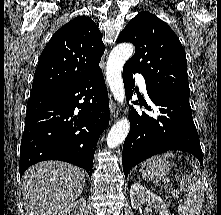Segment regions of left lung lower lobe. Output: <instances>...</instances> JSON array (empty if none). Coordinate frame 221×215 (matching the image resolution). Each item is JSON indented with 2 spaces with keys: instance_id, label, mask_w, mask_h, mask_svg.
<instances>
[{
  "instance_id": "0a47b994",
  "label": "left lung lower lobe",
  "mask_w": 221,
  "mask_h": 215,
  "mask_svg": "<svg viewBox=\"0 0 221 215\" xmlns=\"http://www.w3.org/2000/svg\"><path fill=\"white\" fill-rule=\"evenodd\" d=\"M135 72L123 68V82L126 98L133 96ZM151 102L144 105L155 115L137 112L131 108L130 131L123 145V171L127 178L131 168L143 160L161 152L181 150L193 154L203 165V155L198 133L192 118L189 99H183L146 84ZM138 104V102H134Z\"/></svg>"
}]
</instances>
